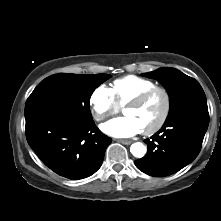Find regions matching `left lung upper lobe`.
Listing matches in <instances>:
<instances>
[{"label": "left lung upper lobe", "mask_w": 221, "mask_h": 221, "mask_svg": "<svg viewBox=\"0 0 221 221\" xmlns=\"http://www.w3.org/2000/svg\"><path fill=\"white\" fill-rule=\"evenodd\" d=\"M142 76L157 79L166 88L170 99L168 116L189 104L206 101L205 93L200 84L177 69L163 67L156 71L143 73Z\"/></svg>", "instance_id": "1"}]
</instances>
